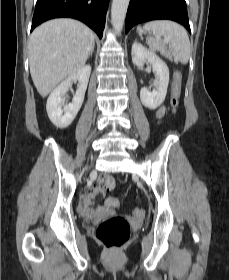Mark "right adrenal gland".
Wrapping results in <instances>:
<instances>
[{
  "label": "right adrenal gland",
  "instance_id": "2a0ac1e0",
  "mask_svg": "<svg viewBox=\"0 0 229 280\" xmlns=\"http://www.w3.org/2000/svg\"><path fill=\"white\" fill-rule=\"evenodd\" d=\"M93 51H94V46L92 47V49H91V51H90V53H89V57H91V56H92Z\"/></svg>",
  "mask_w": 229,
  "mask_h": 280
}]
</instances>
